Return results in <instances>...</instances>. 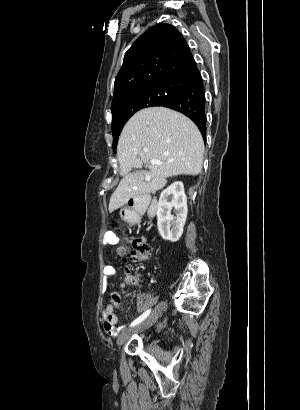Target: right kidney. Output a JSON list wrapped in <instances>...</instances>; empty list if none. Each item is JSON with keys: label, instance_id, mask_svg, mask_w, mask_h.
<instances>
[{"label": "right kidney", "instance_id": "obj_1", "mask_svg": "<svg viewBox=\"0 0 300 410\" xmlns=\"http://www.w3.org/2000/svg\"><path fill=\"white\" fill-rule=\"evenodd\" d=\"M174 208L176 216L171 215ZM187 196L181 181L172 183L161 192L157 205V226L164 240L176 242L183 233L187 217Z\"/></svg>", "mask_w": 300, "mask_h": 410}]
</instances>
